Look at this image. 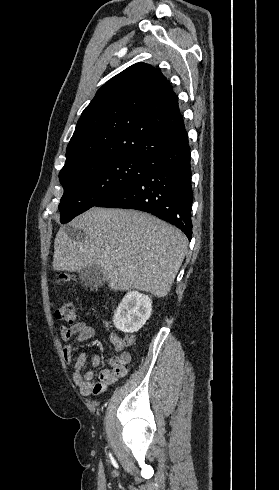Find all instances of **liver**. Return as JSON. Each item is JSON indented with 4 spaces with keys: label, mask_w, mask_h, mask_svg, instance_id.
Returning <instances> with one entry per match:
<instances>
[{
    "label": "liver",
    "mask_w": 279,
    "mask_h": 490,
    "mask_svg": "<svg viewBox=\"0 0 279 490\" xmlns=\"http://www.w3.org/2000/svg\"><path fill=\"white\" fill-rule=\"evenodd\" d=\"M83 242L60 228L54 242L56 272L99 266L111 290H140L157 298L169 294L187 252L181 230L137 210L91 208L71 222Z\"/></svg>",
    "instance_id": "6515ba94"
}]
</instances>
